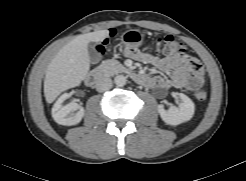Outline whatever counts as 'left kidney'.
<instances>
[{
    "label": "left kidney",
    "mask_w": 246,
    "mask_h": 181,
    "mask_svg": "<svg viewBox=\"0 0 246 181\" xmlns=\"http://www.w3.org/2000/svg\"><path fill=\"white\" fill-rule=\"evenodd\" d=\"M178 95L181 99L178 107L171 106L167 110L161 104L157 107L160 117L166 124L179 125L189 121L194 115L195 105L193 101L183 93H179Z\"/></svg>",
    "instance_id": "left-kidney-1"
}]
</instances>
